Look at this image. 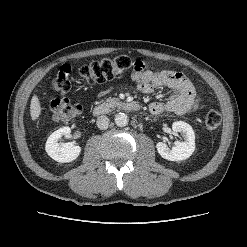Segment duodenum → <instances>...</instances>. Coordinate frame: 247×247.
<instances>
[{
    "mask_svg": "<svg viewBox=\"0 0 247 247\" xmlns=\"http://www.w3.org/2000/svg\"><path fill=\"white\" fill-rule=\"evenodd\" d=\"M116 109H122L129 112H137L140 110V105L136 102L128 101L100 103L93 108L92 112L95 116H100L110 113Z\"/></svg>",
    "mask_w": 247,
    "mask_h": 247,
    "instance_id": "410a0bca",
    "label": "duodenum"
}]
</instances>
